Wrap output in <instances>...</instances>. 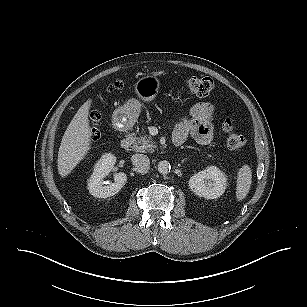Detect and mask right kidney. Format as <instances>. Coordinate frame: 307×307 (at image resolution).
Returning a JSON list of instances; mask_svg holds the SVG:
<instances>
[{"label": "right kidney", "mask_w": 307, "mask_h": 307, "mask_svg": "<svg viewBox=\"0 0 307 307\" xmlns=\"http://www.w3.org/2000/svg\"><path fill=\"white\" fill-rule=\"evenodd\" d=\"M116 157L106 153L101 156L94 166L93 174L88 182L89 193L96 198H107L117 194L127 181V176L123 172L114 175L113 183H104L106 177L115 165ZM105 184V185H104Z\"/></svg>", "instance_id": "right-kidney-1"}]
</instances>
